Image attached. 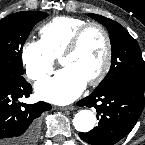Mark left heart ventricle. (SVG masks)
Wrapping results in <instances>:
<instances>
[{
	"mask_svg": "<svg viewBox=\"0 0 145 145\" xmlns=\"http://www.w3.org/2000/svg\"><path fill=\"white\" fill-rule=\"evenodd\" d=\"M105 58V41L101 32L95 28L82 37L78 48L60 62L64 67H72L88 82L100 71Z\"/></svg>",
	"mask_w": 145,
	"mask_h": 145,
	"instance_id": "b2bd125f",
	"label": "left heart ventricle"
}]
</instances>
